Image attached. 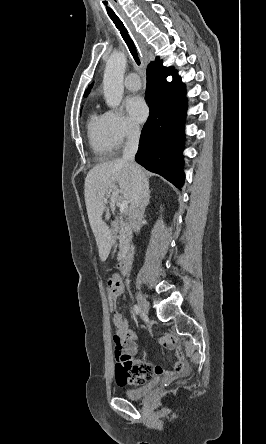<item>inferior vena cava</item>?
Segmentation results:
<instances>
[{"label":"inferior vena cava","mask_w":266,"mask_h":444,"mask_svg":"<svg viewBox=\"0 0 266 444\" xmlns=\"http://www.w3.org/2000/svg\"><path fill=\"white\" fill-rule=\"evenodd\" d=\"M140 137V129L137 126H130L127 130V141L123 150L124 161L131 163L134 172V188L132 193V201L130 206L129 221L134 232L140 230L141 221L145 212V208L149 203V184L141 171L135 164V154L138 150Z\"/></svg>","instance_id":"inferior-vena-cava-1"}]
</instances>
